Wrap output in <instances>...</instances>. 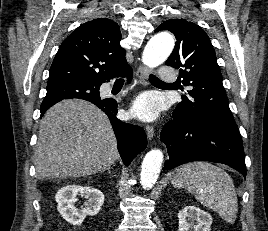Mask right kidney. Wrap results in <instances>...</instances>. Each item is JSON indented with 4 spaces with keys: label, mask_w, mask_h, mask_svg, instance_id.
<instances>
[{
    "label": "right kidney",
    "mask_w": 268,
    "mask_h": 231,
    "mask_svg": "<svg viewBox=\"0 0 268 231\" xmlns=\"http://www.w3.org/2000/svg\"><path fill=\"white\" fill-rule=\"evenodd\" d=\"M78 195L87 199L84 208L78 209L75 206ZM55 200L58 203V212L63 219L73 225H80L87 215L94 216L100 211L104 202V194L96 188L73 184L62 187L55 195Z\"/></svg>",
    "instance_id": "right-kidney-1"
}]
</instances>
